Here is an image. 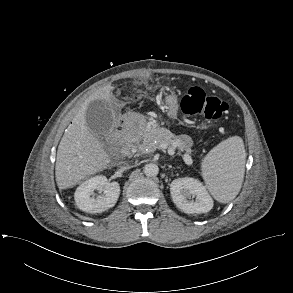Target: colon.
I'll use <instances>...</instances> for the list:
<instances>
[{
  "mask_svg": "<svg viewBox=\"0 0 293 293\" xmlns=\"http://www.w3.org/2000/svg\"><path fill=\"white\" fill-rule=\"evenodd\" d=\"M181 108L187 116L214 120L226 113L228 104L216 96L208 95L201 87L192 86L183 92Z\"/></svg>",
  "mask_w": 293,
  "mask_h": 293,
  "instance_id": "5ec220e1",
  "label": "colon"
}]
</instances>
